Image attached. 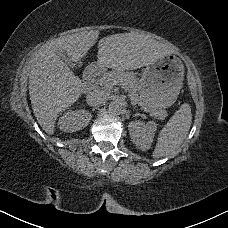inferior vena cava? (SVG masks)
Masks as SVG:
<instances>
[{"instance_id":"obj_1","label":"inferior vena cava","mask_w":228,"mask_h":228,"mask_svg":"<svg viewBox=\"0 0 228 228\" xmlns=\"http://www.w3.org/2000/svg\"><path fill=\"white\" fill-rule=\"evenodd\" d=\"M109 97L110 95L107 91L95 90L86 96V102L90 106H99L104 104L109 99Z\"/></svg>"}]
</instances>
